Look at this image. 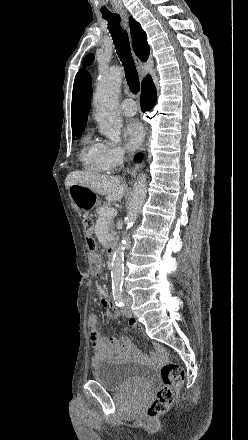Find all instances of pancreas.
<instances>
[{"label": "pancreas", "mask_w": 248, "mask_h": 440, "mask_svg": "<svg viewBox=\"0 0 248 440\" xmlns=\"http://www.w3.org/2000/svg\"><path fill=\"white\" fill-rule=\"evenodd\" d=\"M106 208H109V205H108L107 203H104L103 205L99 206V207L96 209V217H97L98 219L101 217V212H102V210H103V209H106ZM107 221H108V229H109L110 233L113 234V233H114V227H113V221H112V218H111V219H108Z\"/></svg>", "instance_id": "1"}]
</instances>
